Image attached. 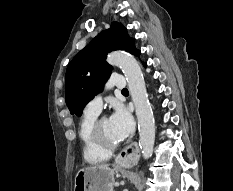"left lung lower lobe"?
<instances>
[{
    "label": "left lung lower lobe",
    "mask_w": 233,
    "mask_h": 191,
    "mask_svg": "<svg viewBox=\"0 0 233 191\" xmlns=\"http://www.w3.org/2000/svg\"><path fill=\"white\" fill-rule=\"evenodd\" d=\"M143 65H144L145 67L147 66V64H146V63H144V62H143Z\"/></svg>",
    "instance_id": "left-lung-lower-lobe-1"
}]
</instances>
